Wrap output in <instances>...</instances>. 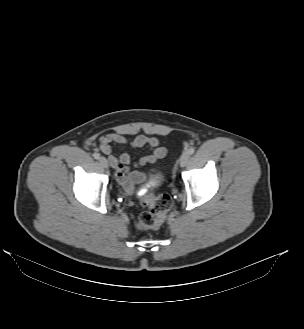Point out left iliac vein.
Wrapping results in <instances>:
<instances>
[{
    "label": "left iliac vein",
    "instance_id": "obj_1",
    "mask_svg": "<svg viewBox=\"0 0 304 329\" xmlns=\"http://www.w3.org/2000/svg\"><path fill=\"white\" fill-rule=\"evenodd\" d=\"M190 158V154L188 152H183V154L180 157V166L184 167Z\"/></svg>",
    "mask_w": 304,
    "mask_h": 329
}]
</instances>
